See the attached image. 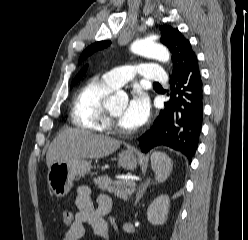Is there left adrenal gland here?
Wrapping results in <instances>:
<instances>
[{
    "instance_id": "a2214340",
    "label": "left adrenal gland",
    "mask_w": 248,
    "mask_h": 240,
    "mask_svg": "<svg viewBox=\"0 0 248 240\" xmlns=\"http://www.w3.org/2000/svg\"><path fill=\"white\" fill-rule=\"evenodd\" d=\"M149 184H150V180H147L145 183H142L138 187L137 192H136V199H135V202H134L135 206L137 205L139 200L143 197V195L146 193V190H147Z\"/></svg>"
}]
</instances>
